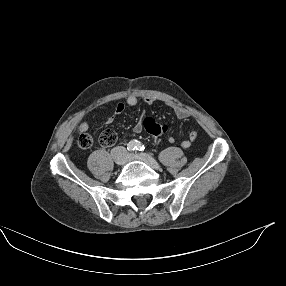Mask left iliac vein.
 <instances>
[{
  "instance_id": "obj_1",
  "label": "left iliac vein",
  "mask_w": 286,
  "mask_h": 286,
  "mask_svg": "<svg viewBox=\"0 0 286 286\" xmlns=\"http://www.w3.org/2000/svg\"><path fill=\"white\" fill-rule=\"evenodd\" d=\"M131 160H139V161H143L145 162L147 165H149L152 169L154 170H160V166L159 164L153 159L151 158L149 155L147 154H136V155H132L130 157Z\"/></svg>"
}]
</instances>
